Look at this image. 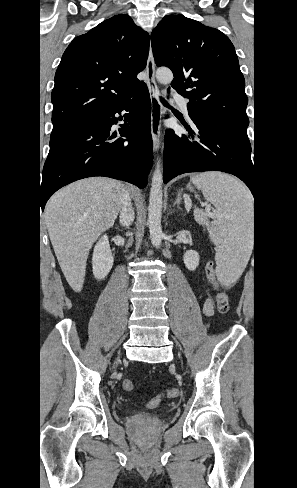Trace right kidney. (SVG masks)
I'll use <instances>...</instances> for the list:
<instances>
[{"label": "right kidney", "mask_w": 297, "mask_h": 488, "mask_svg": "<svg viewBox=\"0 0 297 488\" xmlns=\"http://www.w3.org/2000/svg\"><path fill=\"white\" fill-rule=\"evenodd\" d=\"M114 258L110 249L107 235H103L95 245L92 268L93 275L97 280L104 279L113 266Z\"/></svg>", "instance_id": "1"}]
</instances>
